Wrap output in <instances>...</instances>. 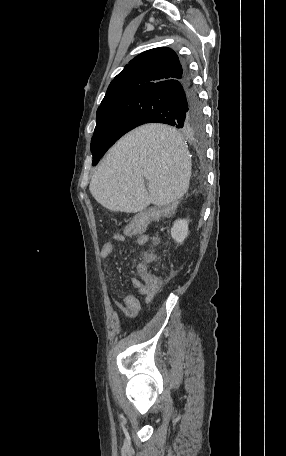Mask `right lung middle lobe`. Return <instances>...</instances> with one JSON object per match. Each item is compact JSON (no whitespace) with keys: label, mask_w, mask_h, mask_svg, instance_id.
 <instances>
[{"label":"right lung middle lobe","mask_w":286,"mask_h":456,"mask_svg":"<svg viewBox=\"0 0 286 456\" xmlns=\"http://www.w3.org/2000/svg\"><path fill=\"white\" fill-rule=\"evenodd\" d=\"M96 116L97 124L91 140L93 166L121 136L138 126L137 107L129 96L100 106ZM194 133L201 134L202 125Z\"/></svg>","instance_id":"right-lung-middle-lobe-1"}]
</instances>
